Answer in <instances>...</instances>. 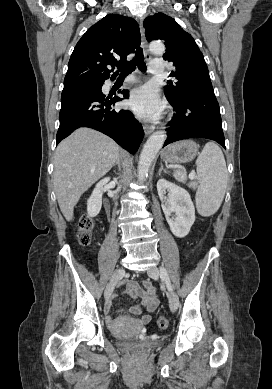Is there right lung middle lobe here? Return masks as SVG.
<instances>
[{
    "instance_id": "right-lung-middle-lobe-1",
    "label": "right lung middle lobe",
    "mask_w": 272,
    "mask_h": 389,
    "mask_svg": "<svg viewBox=\"0 0 272 389\" xmlns=\"http://www.w3.org/2000/svg\"><path fill=\"white\" fill-rule=\"evenodd\" d=\"M104 82H93V83H86V84H81L77 86H86V87H101Z\"/></svg>"
}]
</instances>
